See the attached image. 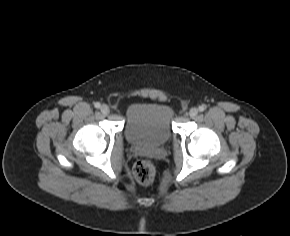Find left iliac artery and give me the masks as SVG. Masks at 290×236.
<instances>
[{"label": "left iliac artery", "instance_id": "44dca946", "mask_svg": "<svg viewBox=\"0 0 290 236\" xmlns=\"http://www.w3.org/2000/svg\"><path fill=\"white\" fill-rule=\"evenodd\" d=\"M205 109H206V106H205V105H201V106H199V111H200V112L205 111Z\"/></svg>", "mask_w": 290, "mask_h": 236}]
</instances>
